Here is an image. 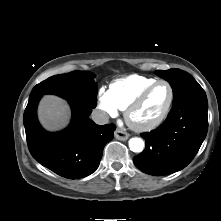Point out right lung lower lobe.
<instances>
[{"label":"right lung lower lobe","mask_w":221,"mask_h":221,"mask_svg":"<svg viewBox=\"0 0 221 221\" xmlns=\"http://www.w3.org/2000/svg\"><path fill=\"white\" fill-rule=\"evenodd\" d=\"M40 98L29 100L23 117L31 155L41 165L68 179L92 174L99 166L104 146L113 139L116 127L97 125L88 117L93 108L69 102L71 124L61 132L49 133L37 120Z\"/></svg>","instance_id":"1"}]
</instances>
